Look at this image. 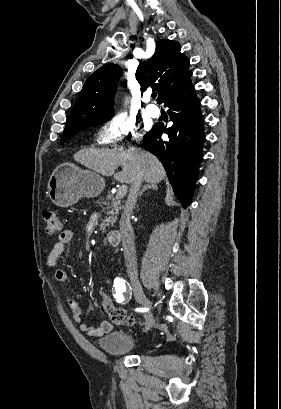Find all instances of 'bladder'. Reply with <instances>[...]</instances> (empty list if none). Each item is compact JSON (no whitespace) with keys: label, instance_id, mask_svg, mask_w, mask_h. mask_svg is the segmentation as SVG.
<instances>
[{"label":"bladder","instance_id":"31cf9c89","mask_svg":"<svg viewBox=\"0 0 281 409\" xmlns=\"http://www.w3.org/2000/svg\"><path fill=\"white\" fill-rule=\"evenodd\" d=\"M97 346L107 355H127L141 348L139 340L130 335L128 329L111 330L108 335L99 336Z\"/></svg>","mask_w":281,"mask_h":409}]
</instances>
